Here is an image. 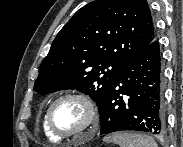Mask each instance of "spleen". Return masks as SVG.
Returning <instances> with one entry per match:
<instances>
[{"label": "spleen", "mask_w": 183, "mask_h": 147, "mask_svg": "<svg viewBox=\"0 0 183 147\" xmlns=\"http://www.w3.org/2000/svg\"><path fill=\"white\" fill-rule=\"evenodd\" d=\"M104 141L113 142L120 147H158L153 138L140 133H113L105 137Z\"/></svg>", "instance_id": "3e777b00"}]
</instances>
